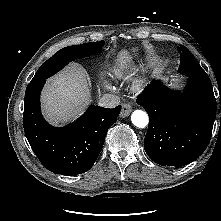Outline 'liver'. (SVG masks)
I'll return each mask as SVG.
<instances>
[{
    "mask_svg": "<svg viewBox=\"0 0 221 221\" xmlns=\"http://www.w3.org/2000/svg\"><path fill=\"white\" fill-rule=\"evenodd\" d=\"M126 52H121L119 62L124 63ZM42 109L46 119L54 125L65 124L77 118L91 102L86 71L71 64L49 79L42 92Z\"/></svg>",
    "mask_w": 221,
    "mask_h": 221,
    "instance_id": "6515ba94",
    "label": "liver"
}]
</instances>
